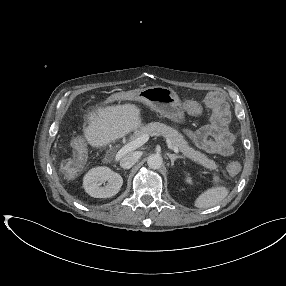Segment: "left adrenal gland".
Instances as JSON below:
<instances>
[{
    "mask_svg": "<svg viewBox=\"0 0 286 286\" xmlns=\"http://www.w3.org/2000/svg\"><path fill=\"white\" fill-rule=\"evenodd\" d=\"M167 155H168V157H169L170 160H171V166L174 165V162H175L176 159H183V158H184V157L181 156V155H175V154H170V153H168Z\"/></svg>",
    "mask_w": 286,
    "mask_h": 286,
    "instance_id": "obj_1",
    "label": "left adrenal gland"
}]
</instances>
